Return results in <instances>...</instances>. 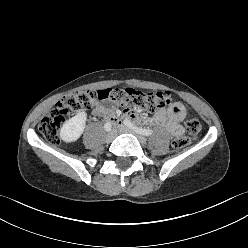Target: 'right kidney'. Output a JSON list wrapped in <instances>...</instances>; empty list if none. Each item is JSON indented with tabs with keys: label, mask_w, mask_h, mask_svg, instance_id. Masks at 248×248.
I'll return each instance as SVG.
<instances>
[{
	"label": "right kidney",
	"mask_w": 248,
	"mask_h": 248,
	"mask_svg": "<svg viewBox=\"0 0 248 248\" xmlns=\"http://www.w3.org/2000/svg\"><path fill=\"white\" fill-rule=\"evenodd\" d=\"M86 120L87 114L85 111L77 113L63 124L60 130V138L66 143L76 142L84 132Z\"/></svg>",
	"instance_id": "ca27d5eb"
}]
</instances>
